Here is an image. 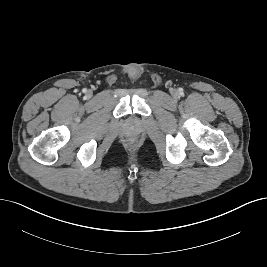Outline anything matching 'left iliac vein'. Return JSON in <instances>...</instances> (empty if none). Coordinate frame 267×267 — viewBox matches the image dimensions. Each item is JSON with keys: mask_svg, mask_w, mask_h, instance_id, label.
Instances as JSON below:
<instances>
[{"mask_svg": "<svg viewBox=\"0 0 267 267\" xmlns=\"http://www.w3.org/2000/svg\"><path fill=\"white\" fill-rule=\"evenodd\" d=\"M173 95L176 96L177 95V92L176 91H173Z\"/></svg>", "mask_w": 267, "mask_h": 267, "instance_id": "left-iliac-vein-1", "label": "left iliac vein"}]
</instances>
